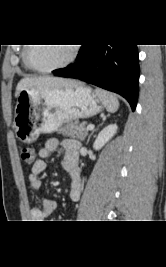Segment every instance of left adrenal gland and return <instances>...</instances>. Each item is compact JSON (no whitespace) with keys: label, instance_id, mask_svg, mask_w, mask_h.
<instances>
[{"label":"left adrenal gland","instance_id":"1","mask_svg":"<svg viewBox=\"0 0 166 267\" xmlns=\"http://www.w3.org/2000/svg\"><path fill=\"white\" fill-rule=\"evenodd\" d=\"M103 119L105 120L106 117H104ZM99 126H101V124H100ZM99 126H98L96 129H94V130L90 133V135H89L88 138H87V142H86L87 144H88V142H89L91 136L94 134V132L98 130Z\"/></svg>","mask_w":166,"mask_h":267}]
</instances>
